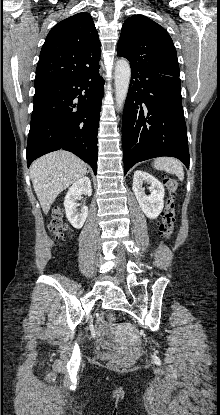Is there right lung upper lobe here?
Returning a JSON list of instances; mask_svg holds the SVG:
<instances>
[{
    "mask_svg": "<svg viewBox=\"0 0 220 415\" xmlns=\"http://www.w3.org/2000/svg\"><path fill=\"white\" fill-rule=\"evenodd\" d=\"M100 41L87 12L56 24L41 49L34 85L62 84L100 68Z\"/></svg>",
    "mask_w": 220,
    "mask_h": 415,
    "instance_id": "cb5924a9",
    "label": "right lung upper lobe"
}]
</instances>
